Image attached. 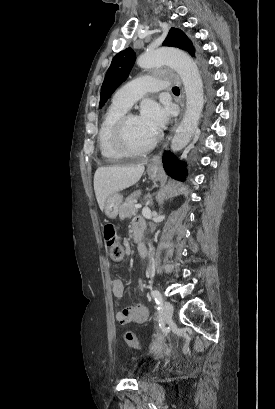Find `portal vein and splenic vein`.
Segmentation results:
<instances>
[{"label":"portal vein and splenic vein","mask_w":275,"mask_h":409,"mask_svg":"<svg viewBox=\"0 0 275 409\" xmlns=\"http://www.w3.org/2000/svg\"><path fill=\"white\" fill-rule=\"evenodd\" d=\"M135 209H141L142 205H134Z\"/></svg>","instance_id":"portal-vein-and-splenic-vein-1"}]
</instances>
